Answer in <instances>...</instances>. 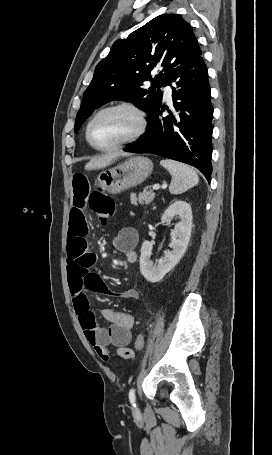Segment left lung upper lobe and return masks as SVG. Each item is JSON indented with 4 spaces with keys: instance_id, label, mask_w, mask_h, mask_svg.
<instances>
[{
    "instance_id": "1",
    "label": "left lung upper lobe",
    "mask_w": 272,
    "mask_h": 455,
    "mask_svg": "<svg viewBox=\"0 0 272 455\" xmlns=\"http://www.w3.org/2000/svg\"><path fill=\"white\" fill-rule=\"evenodd\" d=\"M201 55L191 26L177 14L157 16L117 40L84 92L75 132L95 108L112 100L131 102L150 116L162 100L159 88ZM147 81L152 87H145Z\"/></svg>"
}]
</instances>
